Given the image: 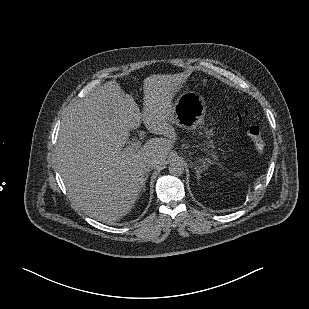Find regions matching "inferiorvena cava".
<instances>
[{"instance_id":"inferior-vena-cava-1","label":"inferior vena cava","mask_w":309,"mask_h":309,"mask_svg":"<svg viewBox=\"0 0 309 309\" xmlns=\"http://www.w3.org/2000/svg\"><path fill=\"white\" fill-rule=\"evenodd\" d=\"M156 167H158V165L150 163L145 167V171L149 172L151 169L156 168Z\"/></svg>"}]
</instances>
